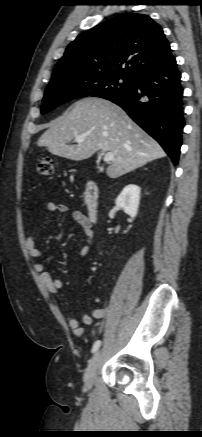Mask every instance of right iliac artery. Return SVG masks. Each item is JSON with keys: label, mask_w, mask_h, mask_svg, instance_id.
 Wrapping results in <instances>:
<instances>
[{"label": "right iliac artery", "mask_w": 202, "mask_h": 437, "mask_svg": "<svg viewBox=\"0 0 202 437\" xmlns=\"http://www.w3.org/2000/svg\"><path fill=\"white\" fill-rule=\"evenodd\" d=\"M100 345H101V341L97 340L93 345L92 353H95L99 349Z\"/></svg>", "instance_id": "right-iliac-artery-1"}]
</instances>
